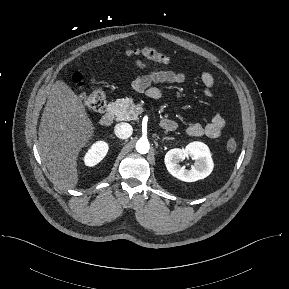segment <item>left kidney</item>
Returning a JSON list of instances; mask_svg holds the SVG:
<instances>
[{
  "instance_id": "left-kidney-1",
  "label": "left kidney",
  "mask_w": 289,
  "mask_h": 289,
  "mask_svg": "<svg viewBox=\"0 0 289 289\" xmlns=\"http://www.w3.org/2000/svg\"><path fill=\"white\" fill-rule=\"evenodd\" d=\"M195 160L191 169L181 166L179 163L185 158ZM164 162L168 172L185 182H195L206 178L213 170V161L210 150L207 145L202 142L189 143L185 149L174 148L169 150L164 158Z\"/></svg>"
}]
</instances>
